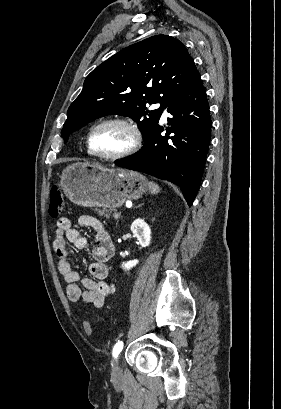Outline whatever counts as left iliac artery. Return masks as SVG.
<instances>
[{
	"label": "left iliac artery",
	"instance_id": "obj_1",
	"mask_svg": "<svg viewBox=\"0 0 281 409\" xmlns=\"http://www.w3.org/2000/svg\"><path fill=\"white\" fill-rule=\"evenodd\" d=\"M123 348V342H118L114 345L113 348V357H117Z\"/></svg>",
	"mask_w": 281,
	"mask_h": 409
}]
</instances>
